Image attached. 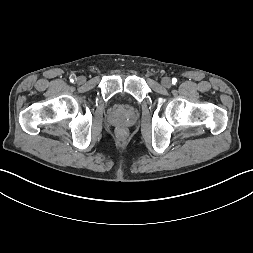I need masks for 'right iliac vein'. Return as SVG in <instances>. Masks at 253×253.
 <instances>
[{
    "instance_id": "63e3f726",
    "label": "right iliac vein",
    "mask_w": 253,
    "mask_h": 253,
    "mask_svg": "<svg viewBox=\"0 0 253 253\" xmlns=\"http://www.w3.org/2000/svg\"><path fill=\"white\" fill-rule=\"evenodd\" d=\"M85 81H86V78H85L84 76H78V77L76 78V82H77L78 84H83Z\"/></svg>"
}]
</instances>
